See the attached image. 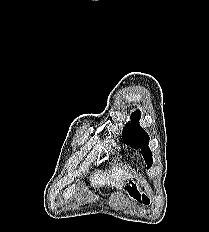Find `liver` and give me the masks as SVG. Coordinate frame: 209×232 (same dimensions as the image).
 Returning a JSON list of instances; mask_svg holds the SVG:
<instances>
[{
  "label": "liver",
  "mask_w": 209,
  "mask_h": 232,
  "mask_svg": "<svg viewBox=\"0 0 209 232\" xmlns=\"http://www.w3.org/2000/svg\"><path fill=\"white\" fill-rule=\"evenodd\" d=\"M132 177L131 173L126 169H120L117 166L112 167L109 171H98L91 177V185L95 188L104 187L105 185L120 189L124 182ZM76 193L75 185L67 188L63 192L64 199L72 198Z\"/></svg>",
  "instance_id": "liver-1"
}]
</instances>
